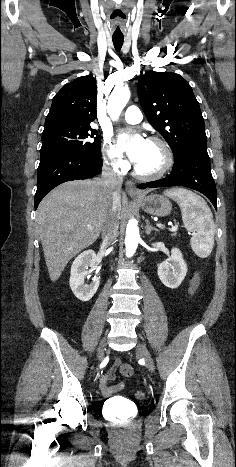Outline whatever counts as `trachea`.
Masks as SVG:
<instances>
[{"instance_id": "3493384b", "label": "trachea", "mask_w": 236, "mask_h": 467, "mask_svg": "<svg viewBox=\"0 0 236 467\" xmlns=\"http://www.w3.org/2000/svg\"><path fill=\"white\" fill-rule=\"evenodd\" d=\"M112 40H113L115 49L119 51L123 45L124 38L113 37Z\"/></svg>"}]
</instances>
